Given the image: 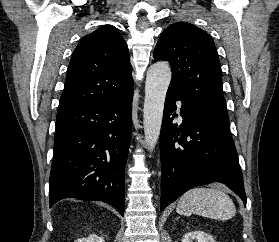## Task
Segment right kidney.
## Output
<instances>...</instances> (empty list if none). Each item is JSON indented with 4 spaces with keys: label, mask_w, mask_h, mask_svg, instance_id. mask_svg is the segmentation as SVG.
<instances>
[{
    "label": "right kidney",
    "mask_w": 279,
    "mask_h": 242,
    "mask_svg": "<svg viewBox=\"0 0 279 242\" xmlns=\"http://www.w3.org/2000/svg\"><path fill=\"white\" fill-rule=\"evenodd\" d=\"M75 242H105V241H104L103 237L92 234L87 238L78 239Z\"/></svg>",
    "instance_id": "ca27d5eb"
}]
</instances>
